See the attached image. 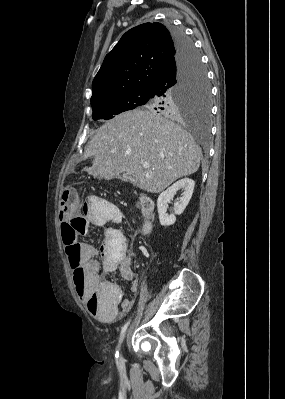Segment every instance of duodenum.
<instances>
[{
	"label": "duodenum",
	"mask_w": 285,
	"mask_h": 399,
	"mask_svg": "<svg viewBox=\"0 0 285 399\" xmlns=\"http://www.w3.org/2000/svg\"><path fill=\"white\" fill-rule=\"evenodd\" d=\"M143 205V230L147 232L152 226V212H153V203L148 198H142Z\"/></svg>",
	"instance_id": "410a0bca"
}]
</instances>
